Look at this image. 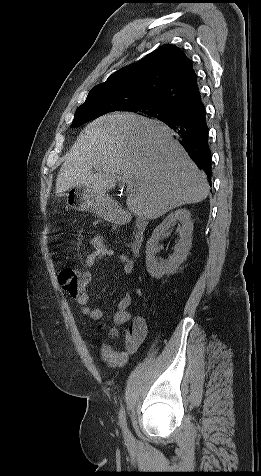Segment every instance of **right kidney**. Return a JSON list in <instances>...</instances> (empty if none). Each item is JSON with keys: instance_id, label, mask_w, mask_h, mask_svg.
<instances>
[{"instance_id": "1", "label": "right kidney", "mask_w": 261, "mask_h": 476, "mask_svg": "<svg viewBox=\"0 0 261 476\" xmlns=\"http://www.w3.org/2000/svg\"><path fill=\"white\" fill-rule=\"evenodd\" d=\"M178 221L180 227V239L174 246V253L168 260L163 261L155 257L159 251V240L168 235L174 222ZM193 223L191 213L187 209H178L171 212L163 222L156 227L151 238L146 244V267L151 277L160 279L164 274H173L186 260L192 245Z\"/></svg>"}]
</instances>
